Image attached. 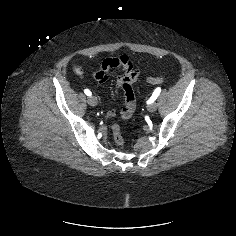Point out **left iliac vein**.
Returning <instances> with one entry per match:
<instances>
[{
	"mask_svg": "<svg viewBox=\"0 0 236 236\" xmlns=\"http://www.w3.org/2000/svg\"><path fill=\"white\" fill-rule=\"evenodd\" d=\"M147 109L149 112H155L157 109V104L155 102H151L148 106Z\"/></svg>",
	"mask_w": 236,
	"mask_h": 236,
	"instance_id": "1",
	"label": "left iliac vein"
}]
</instances>
